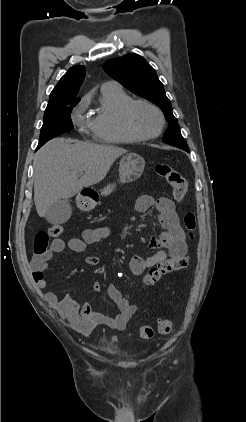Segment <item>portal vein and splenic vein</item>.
<instances>
[{
    "mask_svg": "<svg viewBox=\"0 0 246 422\" xmlns=\"http://www.w3.org/2000/svg\"><path fill=\"white\" fill-rule=\"evenodd\" d=\"M82 172H83V170L81 169V170H80V173H82Z\"/></svg>",
    "mask_w": 246,
    "mask_h": 422,
    "instance_id": "18ae733b",
    "label": "portal vein and splenic vein"
}]
</instances>
